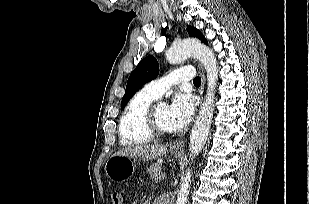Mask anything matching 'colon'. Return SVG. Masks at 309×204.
Instances as JSON below:
<instances>
[{
    "label": "colon",
    "mask_w": 309,
    "mask_h": 204,
    "mask_svg": "<svg viewBox=\"0 0 309 204\" xmlns=\"http://www.w3.org/2000/svg\"><path fill=\"white\" fill-rule=\"evenodd\" d=\"M112 204H122V194L120 192H113L111 194Z\"/></svg>",
    "instance_id": "colon-1"
}]
</instances>
